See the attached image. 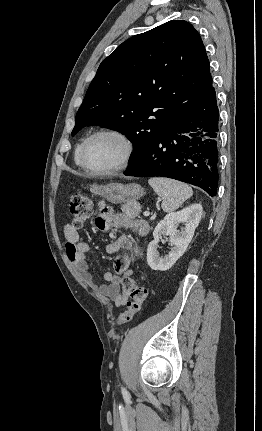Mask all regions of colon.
<instances>
[{"instance_id":"colon-1","label":"colon","mask_w":262,"mask_h":431,"mask_svg":"<svg viewBox=\"0 0 262 431\" xmlns=\"http://www.w3.org/2000/svg\"><path fill=\"white\" fill-rule=\"evenodd\" d=\"M69 215L72 226L82 228L92 215L90 199L80 192L72 194L69 202ZM121 291L127 298V307L126 310L119 314L117 323L126 324L131 322L134 315L141 311L148 291L131 277L122 279Z\"/></svg>"}]
</instances>
